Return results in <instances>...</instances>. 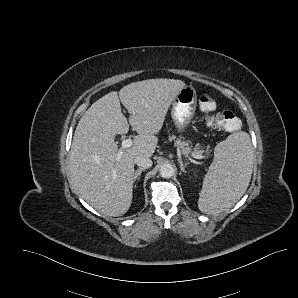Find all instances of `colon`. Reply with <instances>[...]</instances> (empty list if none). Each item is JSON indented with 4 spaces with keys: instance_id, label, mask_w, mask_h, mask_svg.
I'll list each match as a JSON object with an SVG mask.
<instances>
[{
    "instance_id": "5ec220e1",
    "label": "colon",
    "mask_w": 298,
    "mask_h": 298,
    "mask_svg": "<svg viewBox=\"0 0 298 298\" xmlns=\"http://www.w3.org/2000/svg\"><path fill=\"white\" fill-rule=\"evenodd\" d=\"M201 111L206 114V123L209 127L225 131H235L240 127V120L230 110L216 111V103L208 93H202L198 97Z\"/></svg>"
}]
</instances>
